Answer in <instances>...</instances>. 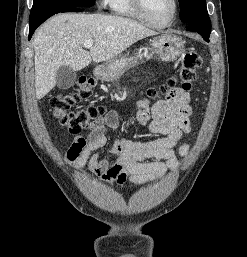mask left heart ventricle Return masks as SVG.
Segmentation results:
<instances>
[{
	"mask_svg": "<svg viewBox=\"0 0 247 257\" xmlns=\"http://www.w3.org/2000/svg\"><path fill=\"white\" fill-rule=\"evenodd\" d=\"M147 16L157 24L166 23L173 12V0H143Z\"/></svg>",
	"mask_w": 247,
	"mask_h": 257,
	"instance_id": "1",
	"label": "left heart ventricle"
}]
</instances>
